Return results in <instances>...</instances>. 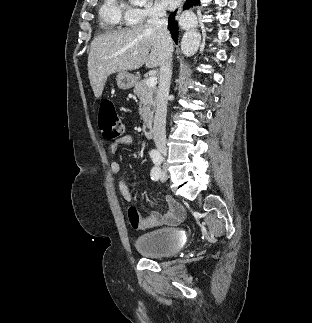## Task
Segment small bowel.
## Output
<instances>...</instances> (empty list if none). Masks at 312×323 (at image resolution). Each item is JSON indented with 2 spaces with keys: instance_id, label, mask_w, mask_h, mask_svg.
I'll return each mask as SVG.
<instances>
[{
  "instance_id": "obj_1",
  "label": "small bowel",
  "mask_w": 312,
  "mask_h": 323,
  "mask_svg": "<svg viewBox=\"0 0 312 323\" xmlns=\"http://www.w3.org/2000/svg\"><path fill=\"white\" fill-rule=\"evenodd\" d=\"M133 141L132 136L123 135L109 145V151L116 153L120 146L129 145ZM120 164L118 162H112L110 164V171L113 174L120 172ZM118 189L122 197L127 202L134 200L133 193L129 189L127 183L120 179L118 181ZM167 203L170 210L167 213L161 214L159 212H150L146 215H140L138 211L132 207L129 208L128 217L131 226L138 231H150L162 226H176L185 218V212L182 206L173 198H167Z\"/></svg>"
}]
</instances>
